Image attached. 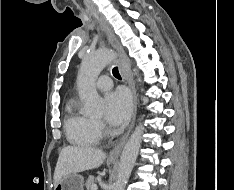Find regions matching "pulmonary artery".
<instances>
[{
  "mask_svg": "<svg viewBox=\"0 0 234 190\" xmlns=\"http://www.w3.org/2000/svg\"><path fill=\"white\" fill-rule=\"evenodd\" d=\"M96 85L100 90H107L112 86L111 79L108 76H102L97 80Z\"/></svg>",
  "mask_w": 234,
  "mask_h": 190,
  "instance_id": "pulmonary-artery-1",
  "label": "pulmonary artery"
}]
</instances>
